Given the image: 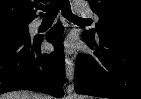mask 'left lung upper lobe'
<instances>
[{"mask_svg": "<svg viewBox=\"0 0 141 99\" xmlns=\"http://www.w3.org/2000/svg\"><path fill=\"white\" fill-rule=\"evenodd\" d=\"M92 10L98 15L96 30L84 31L94 38V32L141 34L140 0H89Z\"/></svg>", "mask_w": 141, "mask_h": 99, "instance_id": "obj_1", "label": "left lung upper lobe"}]
</instances>
